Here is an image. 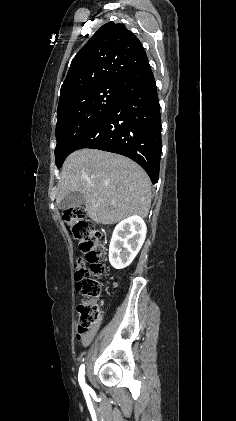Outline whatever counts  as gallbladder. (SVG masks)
Masks as SVG:
<instances>
[{
	"mask_svg": "<svg viewBox=\"0 0 236 421\" xmlns=\"http://www.w3.org/2000/svg\"><path fill=\"white\" fill-rule=\"evenodd\" d=\"M84 202L85 198L82 192L75 190V192H69L67 196H64V198L58 202L57 206L58 208H65V211H67V208H75V206H80V204H84Z\"/></svg>",
	"mask_w": 236,
	"mask_h": 421,
	"instance_id": "bac80fb5",
	"label": "gallbladder"
}]
</instances>
